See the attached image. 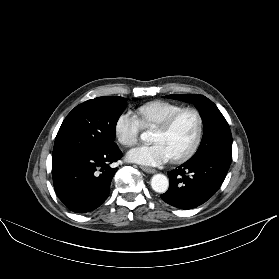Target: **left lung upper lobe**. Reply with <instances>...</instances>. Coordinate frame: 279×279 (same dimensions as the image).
<instances>
[{
  "mask_svg": "<svg viewBox=\"0 0 279 279\" xmlns=\"http://www.w3.org/2000/svg\"><path fill=\"white\" fill-rule=\"evenodd\" d=\"M172 99L192 102L200 112L204 133L201 144L192 158L216 154L232 160V135L227 121L217 106L203 95H168Z\"/></svg>",
  "mask_w": 279,
  "mask_h": 279,
  "instance_id": "5c2ea615",
  "label": "left lung upper lobe"
}]
</instances>
